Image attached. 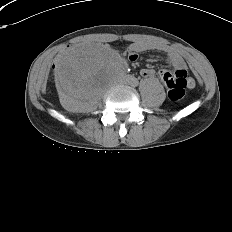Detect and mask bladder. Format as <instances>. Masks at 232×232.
<instances>
[{"instance_id":"obj_1","label":"bladder","mask_w":232,"mask_h":232,"mask_svg":"<svg viewBox=\"0 0 232 232\" xmlns=\"http://www.w3.org/2000/svg\"><path fill=\"white\" fill-rule=\"evenodd\" d=\"M80 49V47H74V50H79Z\"/></svg>"}]
</instances>
